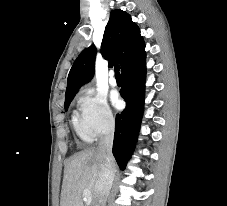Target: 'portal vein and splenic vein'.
I'll return each mask as SVG.
<instances>
[{
  "instance_id": "portal-vein-and-splenic-vein-1",
  "label": "portal vein and splenic vein",
  "mask_w": 227,
  "mask_h": 206,
  "mask_svg": "<svg viewBox=\"0 0 227 206\" xmlns=\"http://www.w3.org/2000/svg\"><path fill=\"white\" fill-rule=\"evenodd\" d=\"M84 199L87 204H90L92 202V195L89 190H84L83 191Z\"/></svg>"
}]
</instances>
